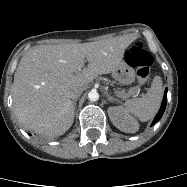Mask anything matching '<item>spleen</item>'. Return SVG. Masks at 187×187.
<instances>
[{
  "label": "spleen",
  "mask_w": 187,
  "mask_h": 187,
  "mask_svg": "<svg viewBox=\"0 0 187 187\" xmlns=\"http://www.w3.org/2000/svg\"><path fill=\"white\" fill-rule=\"evenodd\" d=\"M163 96L162 80L155 76L151 88L142 97L125 102L124 110L133 114L140 121H148L159 109Z\"/></svg>",
  "instance_id": "spleen-1"
}]
</instances>
